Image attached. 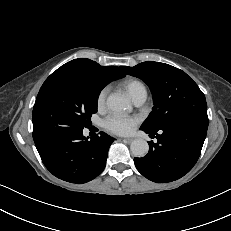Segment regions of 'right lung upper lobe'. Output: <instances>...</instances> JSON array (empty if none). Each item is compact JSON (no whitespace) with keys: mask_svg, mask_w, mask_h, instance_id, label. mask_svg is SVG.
<instances>
[{"mask_svg":"<svg viewBox=\"0 0 231 231\" xmlns=\"http://www.w3.org/2000/svg\"><path fill=\"white\" fill-rule=\"evenodd\" d=\"M116 66H100L95 61L86 58H79L69 61L53 72L46 80L68 74L90 73L110 83L111 81L122 78L126 74Z\"/></svg>","mask_w":231,"mask_h":231,"instance_id":"right-lung-upper-lobe-1","label":"right lung upper lobe"}]
</instances>
